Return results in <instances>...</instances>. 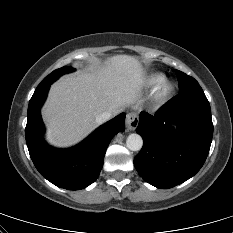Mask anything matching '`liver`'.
Masks as SVG:
<instances>
[{
  "label": "liver",
  "mask_w": 233,
  "mask_h": 233,
  "mask_svg": "<svg viewBox=\"0 0 233 233\" xmlns=\"http://www.w3.org/2000/svg\"><path fill=\"white\" fill-rule=\"evenodd\" d=\"M145 81L141 63L129 55L108 58L55 82L42 109L46 140L55 147L72 146L96 127V117L113 115L134 104Z\"/></svg>",
  "instance_id": "6515ba94"
}]
</instances>
